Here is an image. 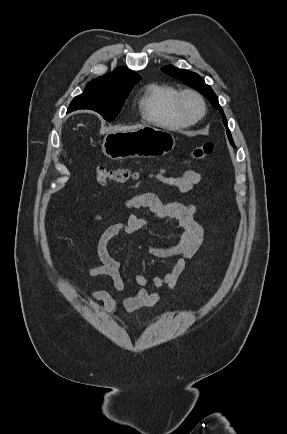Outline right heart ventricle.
I'll return each mask as SVG.
<instances>
[{"label": "right heart ventricle", "mask_w": 287, "mask_h": 434, "mask_svg": "<svg viewBox=\"0 0 287 434\" xmlns=\"http://www.w3.org/2000/svg\"><path fill=\"white\" fill-rule=\"evenodd\" d=\"M178 91L169 85L151 83L144 89L140 107L144 118L167 127H185L189 122L175 111L174 100Z\"/></svg>", "instance_id": "1"}]
</instances>
